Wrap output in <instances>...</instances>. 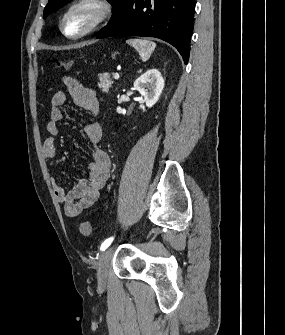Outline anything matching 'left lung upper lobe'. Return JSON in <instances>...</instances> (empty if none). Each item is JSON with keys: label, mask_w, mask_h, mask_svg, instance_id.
I'll list each match as a JSON object with an SVG mask.
<instances>
[{"label": "left lung upper lobe", "mask_w": 285, "mask_h": 335, "mask_svg": "<svg viewBox=\"0 0 285 335\" xmlns=\"http://www.w3.org/2000/svg\"><path fill=\"white\" fill-rule=\"evenodd\" d=\"M69 0H49L48 4L46 5L44 9V18H46L50 13L55 12L58 8H60L62 5L67 3ZM112 3L113 8L117 6V4L121 0H108Z\"/></svg>", "instance_id": "1"}]
</instances>
